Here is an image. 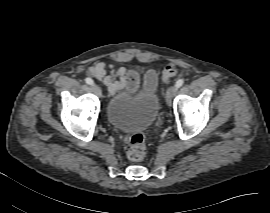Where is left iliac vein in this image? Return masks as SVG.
<instances>
[{"label":"left iliac vein","mask_w":270,"mask_h":213,"mask_svg":"<svg viewBox=\"0 0 270 213\" xmlns=\"http://www.w3.org/2000/svg\"><path fill=\"white\" fill-rule=\"evenodd\" d=\"M177 91V88L175 85H172L167 88L166 90V102L168 105H170L172 98L174 97L175 93Z\"/></svg>","instance_id":"1"}]
</instances>
